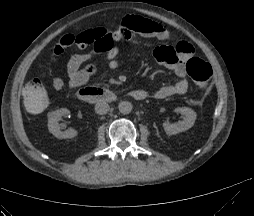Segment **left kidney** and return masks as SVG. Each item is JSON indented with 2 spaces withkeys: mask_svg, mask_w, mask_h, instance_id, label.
<instances>
[{
  "mask_svg": "<svg viewBox=\"0 0 254 216\" xmlns=\"http://www.w3.org/2000/svg\"><path fill=\"white\" fill-rule=\"evenodd\" d=\"M175 112L181 113L185 118L176 124H171L168 121L164 122L163 127L168 135H175L187 131L194 125L197 117L196 112L188 107H177Z\"/></svg>",
  "mask_w": 254,
  "mask_h": 216,
  "instance_id": "1",
  "label": "left kidney"
}]
</instances>
